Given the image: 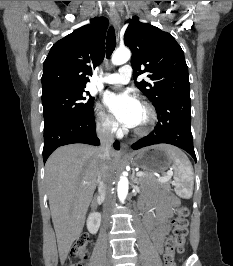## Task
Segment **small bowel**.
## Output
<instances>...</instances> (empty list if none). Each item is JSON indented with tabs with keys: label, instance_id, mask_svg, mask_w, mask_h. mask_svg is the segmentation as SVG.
<instances>
[{
	"label": "small bowel",
	"instance_id": "small-bowel-1",
	"mask_svg": "<svg viewBox=\"0 0 233 266\" xmlns=\"http://www.w3.org/2000/svg\"><path fill=\"white\" fill-rule=\"evenodd\" d=\"M178 199L170 194L152 197L148 201V211L144 216V226L150 233L156 249L161 252L163 241L170 229V219Z\"/></svg>",
	"mask_w": 233,
	"mask_h": 266
}]
</instances>
